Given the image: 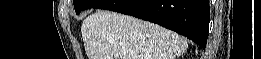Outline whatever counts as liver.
<instances>
[{
    "mask_svg": "<svg viewBox=\"0 0 261 59\" xmlns=\"http://www.w3.org/2000/svg\"><path fill=\"white\" fill-rule=\"evenodd\" d=\"M81 33L88 59H176L187 49L179 34L111 11L88 16Z\"/></svg>",
    "mask_w": 261,
    "mask_h": 59,
    "instance_id": "1",
    "label": "liver"
}]
</instances>
